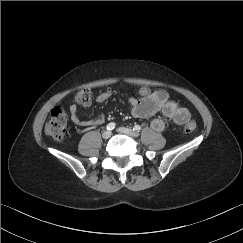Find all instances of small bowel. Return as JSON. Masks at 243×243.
<instances>
[{
	"label": "small bowel",
	"mask_w": 243,
	"mask_h": 243,
	"mask_svg": "<svg viewBox=\"0 0 243 243\" xmlns=\"http://www.w3.org/2000/svg\"><path fill=\"white\" fill-rule=\"evenodd\" d=\"M140 95V98L132 97L128 100L134 117L145 119L161 111L166 118L171 119L178 125H183L190 120L189 109L170 100L167 92L163 90L150 91L148 88H141ZM111 97L112 92L105 91L96 97V102L104 103ZM69 111L72 122L77 126H99L105 122L103 114L98 115L91 121L83 120L75 104L70 106ZM151 128L156 132H161L165 128V121L162 118H155L151 122Z\"/></svg>",
	"instance_id": "1"
}]
</instances>
